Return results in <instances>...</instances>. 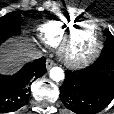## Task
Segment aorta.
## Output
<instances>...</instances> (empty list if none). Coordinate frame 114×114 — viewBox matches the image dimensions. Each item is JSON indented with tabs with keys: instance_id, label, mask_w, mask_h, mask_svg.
<instances>
[{
	"instance_id": "obj_1",
	"label": "aorta",
	"mask_w": 114,
	"mask_h": 114,
	"mask_svg": "<svg viewBox=\"0 0 114 114\" xmlns=\"http://www.w3.org/2000/svg\"><path fill=\"white\" fill-rule=\"evenodd\" d=\"M50 78L56 82L64 79V71L60 67H53L49 71Z\"/></svg>"
}]
</instances>
